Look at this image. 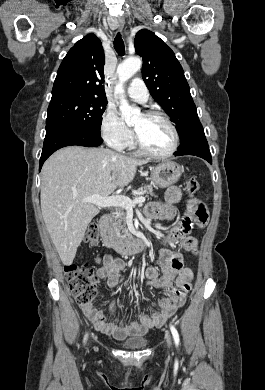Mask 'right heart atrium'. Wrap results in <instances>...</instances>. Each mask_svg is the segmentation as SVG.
I'll use <instances>...</instances> for the list:
<instances>
[{
  "label": "right heart atrium",
  "mask_w": 265,
  "mask_h": 390,
  "mask_svg": "<svg viewBox=\"0 0 265 390\" xmlns=\"http://www.w3.org/2000/svg\"><path fill=\"white\" fill-rule=\"evenodd\" d=\"M100 131L104 141L117 150H123L133 138L132 131L124 124L117 110L107 107L100 122Z\"/></svg>",
  "instance_id": "d8ad5b80"
}]
</instances>
